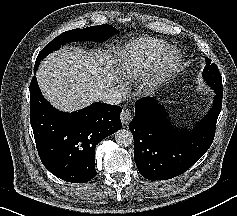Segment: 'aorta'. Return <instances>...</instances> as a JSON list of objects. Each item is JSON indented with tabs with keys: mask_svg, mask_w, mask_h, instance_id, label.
<instances>
[{
	"mask_svg": "<svg viewBox=\"0 0 237 216\" xmlns=\"http://www.w3.org/2000/svg\"><path fill=\"white\" fill-rule=\"evenodd\" d=\"M116 143L121 147H129L134 143V137L130 130L121 129L115 133Z\"/></svg>",
	"mask_w": 237,
	"mask_h": 216,
	"instance_id": "762f6f07",
	"label": "aorta"
}]
</instances>
